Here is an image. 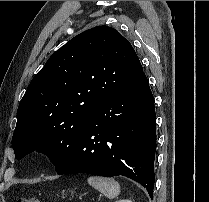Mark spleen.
<instances>
[{"label":"spleen","instance_id":"1","mask_svg":"<svg viewBox=\"0 0 209 202\" xmlns=\"http://www.w3.org/2000/svg\"><path fill=\"white\" fill-rule=\"evenodd\" d=\"M87 181L89 185L103 193L109 199L117 197L120 193V185L114 179L91 176Z\"/></svg>","mask_w":209,"mask_h":202}]
</instances>
